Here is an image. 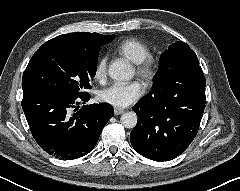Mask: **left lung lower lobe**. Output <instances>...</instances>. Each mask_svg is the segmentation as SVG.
Here are the masks:
<instances>
[{"mask_svg":"<svg viewBox=\"0 0 240 191\" xmlns=\"http://www.w3.org/2000/svg\"><path fill=\"white\" fill-rule=\"evenodd\" d=\"M205 85L202 72L183 75L136 103L133 110L138 123L130 134L133 148L160 162L183 153L198 132L205 108Z\"/></svg>","mask_w":240,"mask_h":191,"instance_id":"left-lung-lower-lobe-1","label":"left lung lower lobe"}]
</instances>
